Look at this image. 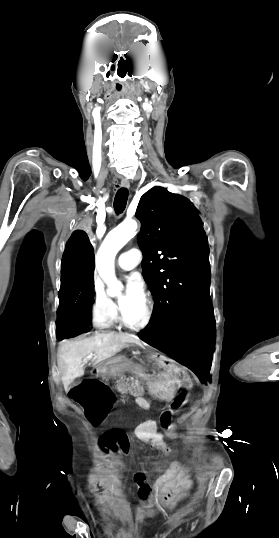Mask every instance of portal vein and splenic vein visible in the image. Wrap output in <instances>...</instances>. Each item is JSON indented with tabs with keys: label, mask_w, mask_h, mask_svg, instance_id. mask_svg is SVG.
<instances>
[{
	"label": "portal vein and splenic vein",
	"mask_w": 279,
	"mask_h": 538,
	"mask_svg": "<svg viewBox=\"0 0 279 538\" xmlns=\"http://www.w3.org/2000/svg\"><path fill=\"white\" fill-rule=\"evenodd\" d=\"M93 354H91V356H87V358H85V360H90V358H92Z\"/></svg>",
	"instance_id": "obj_1"
}]
</instances>
